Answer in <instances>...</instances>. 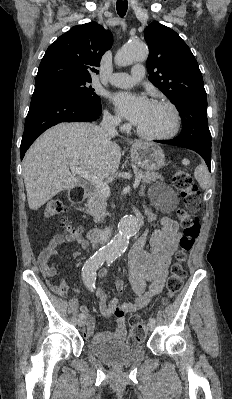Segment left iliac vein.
Wrapping results in <instances>:
<instances>
[{"mask_svg": "<svg viewBox=\"0 0 232 399\" xmlns=\"http://www.w3.org/2000/svg\"><path fill=\"white\" fill-rule=\"evenodd\" d=\"M149 331H152V328H155V322H150V325H147Z\"/></svg>", "mask_w": 232, "mask_h": 399, "instance_id": "1", "label": "left iliac vein"}]
</instances>
